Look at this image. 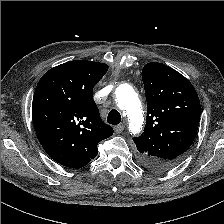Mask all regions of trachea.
Returning <instances> with one entry per match:
<instances>
[{"label": "trachea", "instance_id": "trachea-1", "mask_svg": "<svg viewBox=\"0 0 224 224\" xmlns=\"http://www.w3.org/2000/svg\"><path fill=\"white\" fill-rule=\"evenodd\" d=\"M107 122L111 125H117L121 122V115L120 113L113 109L109 112L108 117H107Z\"/></svg>", "mask_w": 224, "mask_h": 224}]
</instances>
